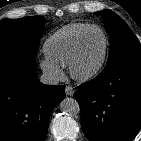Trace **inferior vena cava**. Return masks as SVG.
Returning a JSON list of instances; mask_svg holds the SVG:
<instances>
[{
    "label": "inferior vena cava",
    "mask_w": 141,
    "mask_h": 141,
    "mask_svg": "<svg viewBox=\"0 0 141 141\" xmlns=\"http://www.w3.org/2000/svg\"><path fill=\"white\" fill-rule=\"evenodd\" d=\"M40 82L46 85H57L59 83V79L54 74L45 72L41 75Z\"/></svg>",
    "instance_id": "inferior-vena-cava-1"
}]
</instances>
